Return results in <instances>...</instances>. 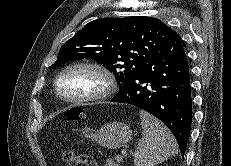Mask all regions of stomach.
<instances>
[{
  "instance_id": "0dacf381",
  "label": "stomach",
  "mask_w": 231,
  "mask_h": 166,
  "mask_svg": "<svg viewBox=\"0 0 231 166\" xmlns=\"http://www.w3.org/2000/svg\"><path fill=\"white\" fill-rule=\"evenodd\" d=\"M85 137L97 142L99 145L118 149L132 139V130L122 122H110L93 132H84Z\"/></svg>"
}]
</instances>
